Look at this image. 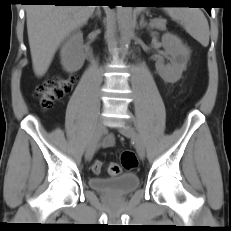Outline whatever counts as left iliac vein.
I'll use <instances>...</instances> for the list:
<instances>
[{"label":"left iliac vein","mask_w":231,"mask_h":231,"mask_svg":"<svg viewBox=\"0 0 231 231\" xmlns=\"http://www.w3.org/2000/svg\"><path fill=\"white\" fill-rule=\"evenodd\" d=\"M119 132L125 137L134 140L137 153L139 157L143 159L145 157V146L143 141L140 139L137 132L135 131V129L131 126L123 125L119 127Z\"/></svg>","instance_id":"4c4485c4"}]
</instances>
